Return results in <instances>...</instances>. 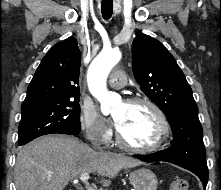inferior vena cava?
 <instances>
[{
    "instance_id": "inferior-vena-cava-1",
    "label": "inferior vena cava",
    "mask_w": 221,
    "mask_h": 190,
    "mask_svg": "<svg viewBox=\"0 0 221 190\" xmlns=\"http://www.w3.org/2000/svg\"><path fill=\"white\" fill-rule=\"evenodd\" d=\"M94 147H96L99 151H102V148L100 147V143L99 142H93Z\"/></svg>"
}]
</instances>
